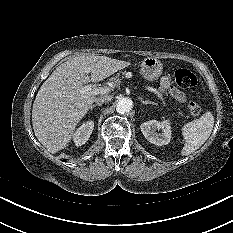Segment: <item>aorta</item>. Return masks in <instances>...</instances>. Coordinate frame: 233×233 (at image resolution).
<instances>
[{
  "mask_svg": "<svg viewBox=\"0 0 233 233\" xmlns=\"http://www.w3.org/2000/svg\"><path fill=\"white\" fill-rule=\"evenodd\" d=\"M133 108V101L128 97L120 98L116 110L119 114L130 112Z\"/></svg>",
  "mask_w": 233,
  "mask_h": 233,
  "instance_id": "762f6f07",
  "label": "aorta"
}]
</instances>
